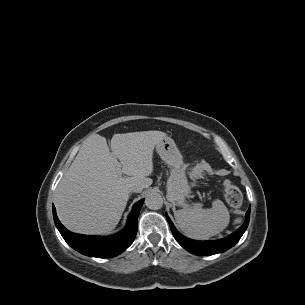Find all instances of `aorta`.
Instances as JSON below:
<instances>
[{
	"label": "aorta",
	"mask_w": 305,
	"mask_h": 305,
	"mask_svg": "<svg viewBox=\"0 0 305 305\" xmlns=\"http://www.w3.org/2000/svg\"><path fill=\"white\" fill-rule=\"evenodd\" d=\"M145 205L151 210H159L163 206V198L159 193H149L146 196Z\"/></svg>",
	"instance_id": "762f6f07"
}]
</instances>
